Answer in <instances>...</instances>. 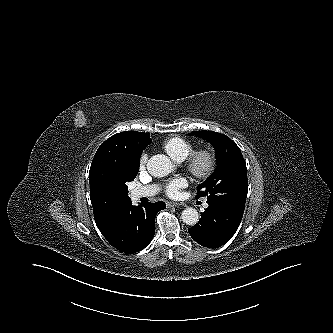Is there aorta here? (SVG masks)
Masks as SVG:
<instances>
[{
    "instance_id": "762f6f07",
    "label": "aorta",
    "mask_w": 333,
    "mask_h": 333,
    "mask_svg": "<svg viewBox=\"0 0 333 333\" xmlns=\"http://www.w3.org/2000/svg\"><path fill=\"white\" fill-rule=\"evenodd\" d=\"M148 172L155 177H165L174 170V165L168 156L157 154L152 156L147 163ZM182 221L187 225H195L199 221V214L195 208L187 207L182 211Z\"/></svg>"
}]
</instances>
